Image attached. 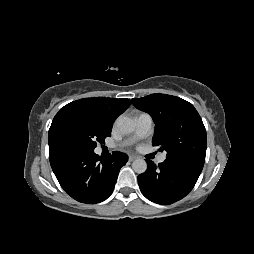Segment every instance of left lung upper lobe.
<instances>
[{
  "mask_svg": "<svg viewBox=\"0 0 254 254\" xmlns=\"http://www.w3.org/2000/svg\"><path fill=\"white\" fill-rule=\"evenodd\" d=\"M133 105L149 113L155 122L153 146L167 151V158H189L205 162L207 135L194 106L175 96L151 94L132 99Z\"/></svg>",
  "mask_w": 254,
  "mask_h": 254,
  "instance_id": "left-lung-upper-lobe-1",
  "label": "left lung upper lobe"
}]
</instances>
